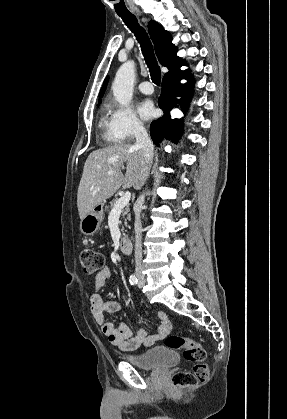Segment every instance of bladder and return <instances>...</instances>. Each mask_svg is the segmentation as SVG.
<instances>
[{
    "label": "bladder",
    "mask_w": 287,
    "mask_h": 419,
    "mask_svg": "<svg viewBox=\"0 0 287 419\" xmlns=\"http://www.w3.org/2000/svg\"><path fill=\"white\" fill-rule=\"evenodd\" d=\"M126 360L141 369L165 370L177 364L179 358L173 349L157 346L141 354L127 356Z\"/></svg>",
    "instance_id": "bladder-1"
}]
</instances>
